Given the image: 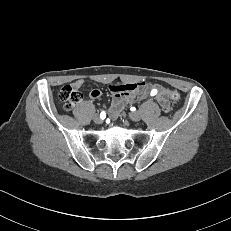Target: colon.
<instances>
[{
	"label": "colon",
	"mask_w": 231,
	"mask_h": 231,
	"mask_svg": "<svg viewBox=\"0 0 231 231\" xmlns=\"http://www.w3.org/2000/svg\"><path fill=\"white\" fill-rule=\"evenodd\" d=\"M168 95L171 101L176 104H178L181 100V95L176 90H170ZM82 97V93L77 88L71 85H66L62 87L59 92V99L64 104V107L67 110L73 108L76 104H78L82 100Z\"/></svg>",
	"instance_id": "1"
}]
</instances>
